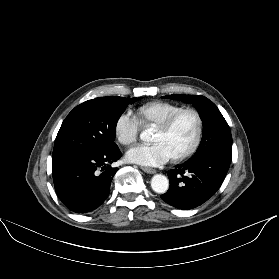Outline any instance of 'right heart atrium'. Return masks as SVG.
<instances>
[{
    "mask_svg": "<svg viewBox=\"0 0 279 279\" xmlns=\"http://www.w3.org/2000/svg\"><path fill=\"white\" fill-rule=\"evenodd\" d=\"M140 131V122L129 111L123 112L116 120L115 135L118 141L125 145L131 146L138 140Z\"/></svg>",
    "mask_w": 279,
    "mask_h": 279,
    "instance_id": "right-heart-atrium-1",
    "label": "right heart atrium"
}]
</instances>
